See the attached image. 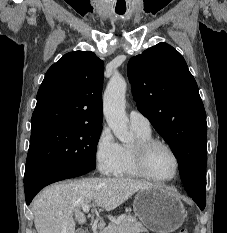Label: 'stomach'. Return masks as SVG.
I'll use <instances>...</instances> for the list:
<instances>
[{
  "instance_id": "0dacf381",
  "label": "stomach",
  "mask_w": 227,
  "mask_h": 233,
  "mask_svg": "<svg viewBox=\"0 0 227 233\" xmlns=\"http://www.w3.org/2000/svg\"><path fill=\"white\" fill-rule=\"evenodd\" d=\"M133 209L143 224L155 233H171L186 218L180 198L170 189L158 186L138 191Z\"/></svg>"
}]
</instances>
